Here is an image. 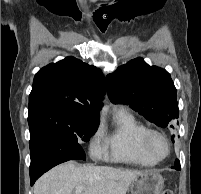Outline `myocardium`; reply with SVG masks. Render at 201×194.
Here are the masks:
<instances>
[{
    "mask_svg": "<svg viewBox=\"0 0 201 194\" xmlns=\"http://www.w3.org/2000/svg\"><path fill=\"white\" fill-rule=\"evenodd\" d=\"M154 136H158V137L162 138L166 144L167 151L163 156H155L150 150V141ZM142 146H143L145 153L156 162L164 160L165 158H167L169 156V154L171 152V143H170L168 136L164 132H162L158 129H154V128L146 129V131L143 135V138H142Z\"/></svg>",
    "mask_w": 201,
    "mask_h": 194,
    "instance_id": "f54148a6",
    "label": "myocardium"
}]
</instances>
